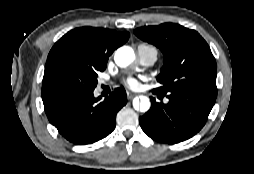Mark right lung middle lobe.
<instances>
[{"instance_id": "1", "label": "right lung middle lobe", "mask_w": 254, "mask_h": 174, "mask_svg": "<svg viewBox=\"0 0 254 174\" xmlns=\"http://www.w3.org/2000/svg\"><path fill=\"white\" fill-rule=\"evenodd\" d=\"M104 70L105 68L92 67L69 55L58 56L45 66L42 99L92 91L97 85V72Z\"/></svg>"}]
</instances>
